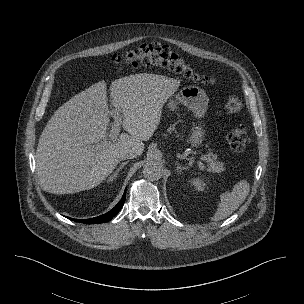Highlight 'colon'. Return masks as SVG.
I'll return each mask as SVG.
<instances>
[{"instance_id":"5ec220e1","label":"colon","mask_w":304,"mask_h":304,"mask_svg":"<svg viewBox=\"0 0 304 304\" xmlns=\"http://www.w3.org/2000/svg\"><path fill=\"white\" fill-rule=\"evenodd\" d=\"M156 65L165 67L183 77L201 84L210 85L214 79L184 60L168 46L160 43L143 44L139 48L123 55H116L107 63V67L122 70L128 67ZM243 108L241 99L236 95H229L224 102V112L227 115H238ZM248 135L245 126L238 124L231 127L227 133V142L234 152H242L247 144Z\"/></svg>"}]
</instances>
